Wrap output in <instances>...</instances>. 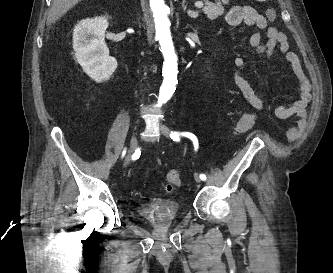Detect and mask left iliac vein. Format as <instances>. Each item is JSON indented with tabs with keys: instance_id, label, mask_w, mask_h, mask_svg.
<instances>
[{
	"instance_id": "4c4485c4",
	"label": "left iliac vein",
	"mask_w": 333,
	"mask_h": 273,
	"mask_svg": "<svg viewBox=\"0 0 333 273\" xmlns=\"http://www.w3.org/2000/svg\"><path fill=\"white\" fill-rule=\"evenodd\" d=\"M159 129L162 134H164L166 136H170V129L166 125L160 124ZM194 178L198 183L202 182V180L200 179V177L198 175L195 174Z\"/></svg>"
}]
</instances>
